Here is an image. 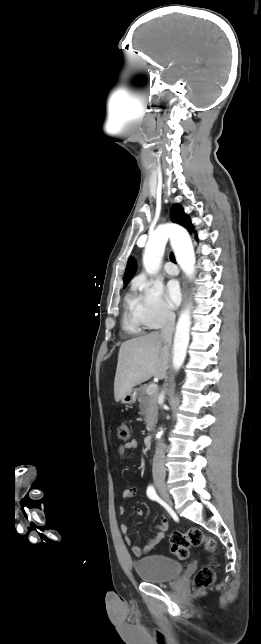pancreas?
<instances>
[{
	"mask_svg": "<svg viewBox=\"0 0 261 644\" xmlns=\"http://www.w3.org/2000/svg\"><path fill=\"white\" fill-rule=\"evenodd\" d=\"M148 385H143L138 389L139 392V408L141 414L144 415V420L146 423V428L148 431L152 430L156 421L158 414V392L157 390L153 394L147 393Z\"/></svg>",
	"mask_w": 261,
	"mask_h": 644,
	"instance_id": "cf45deb5",
	"label": "pancreas"
}]
</instances>
